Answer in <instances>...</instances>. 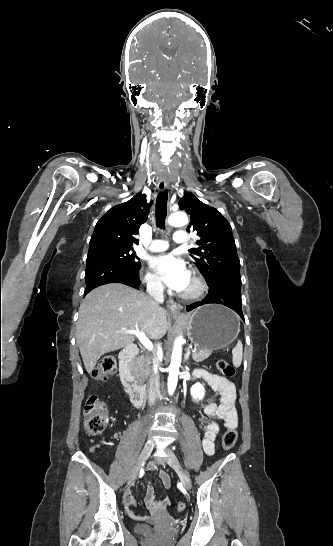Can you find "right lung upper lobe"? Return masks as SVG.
I'll use <instances>...</instances> for the list:
<instances>
[{"label":"right lung upper lobe","mask_w":333,"mask_h":546,"mask_svg":"<svg viewBox=\"0 0 333 546\" xmlns=\"http://www.w3.org/2000/svg\"><path fill=\"white\" fill-rule=\"evenodd\" d=\"M151 205L147 204L146 195L138 193L129 201L109 209L95 226L89 251L103 247L133 248L138 244L134 235L146 221Z\"/></svg>","instance_id":"right-lung-upper-lobe-1"}]
</instances>
